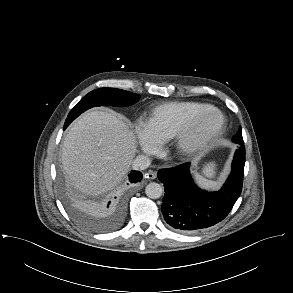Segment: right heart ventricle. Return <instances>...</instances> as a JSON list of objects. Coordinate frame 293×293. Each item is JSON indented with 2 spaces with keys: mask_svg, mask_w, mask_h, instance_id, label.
Here are the masks:
<instances>
[{
  "mask_svg": "<svg viewBox=\"0 0 293 293\" xmlns=\"http://www.w3.org/2000/svg\"><path fill=\"white\" fill-rule=\"evenodd\" d=\"M211 107L200 102H168L152 109L144 122L150 132L164 142L173 139L193 116Z\"/></svg>",
  "mask_w": 293,
  "mask_h": 293,
  "instance_id": "1",
  "label": "right heart ventricle"
}]
</instances>
